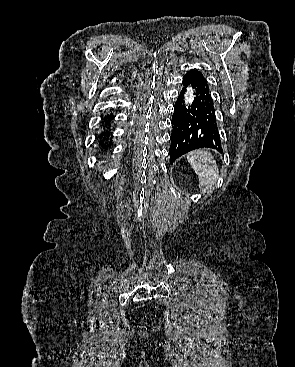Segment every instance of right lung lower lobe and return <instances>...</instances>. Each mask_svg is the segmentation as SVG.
I'll return each mask as SVG.
<instances>
[{"label":"right lung lower lobe","instance_id":"obj_1","mask_svg":"<svg viewBox=\"0 0 295 367\" xmlns=\"http://www.w3.org/2000/svg\"><path fill=\"white\" fill-rule=\"evenodd\" d=\"M113 114H108L104 117L102 122L103 132L99 135V146L102 152H106L110 145H111V138H110V126L111 121L114 119Z\"/></svg>","mask_w":295,"mask_h":367}]
</instances>
